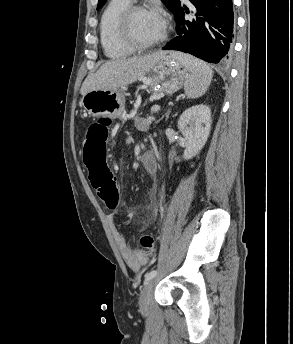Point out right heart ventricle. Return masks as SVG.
Instances as JSON below:
<instances>
[{
    "instance_id": "obj_1",
    "label": "right heart ventricle",
    "mask_w": 293,
    "mask_h": 344,
    "mask_svg": "<svg viewBox=\"0 0 293 344\" xmlns=\"http://www.w3.org/2000/svg\"><path fill=\"white\" fill-rule=\"evenodd\" d=\"M130 0H110L104 8L99 23V37L103 52L110 59H123L131 56L134 49L125 45L117 32V20Z\"/></svg>"
}]
</instances>
